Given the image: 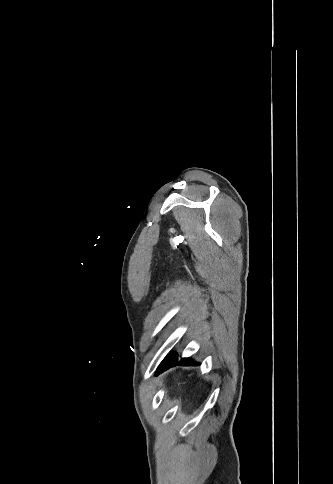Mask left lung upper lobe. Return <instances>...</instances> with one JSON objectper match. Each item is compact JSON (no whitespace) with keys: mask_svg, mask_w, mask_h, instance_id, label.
I'll return each instance as SVG.
<instances>
[{"mask_svg":"<svg viewBox=\"0 0 333 484\" xmlns=\"http://www.w3.org/2000/svg\"><path fill=\"white\" fill-rule=\"evenodd\" d=\"M161 372H163V371H158L156 374L158 375V374H159V373H161Z\"/></svg>","mask_w":333,"mask_h":484,"instance_id":"1","label":"left lung upper lobe"}]
</instances>
